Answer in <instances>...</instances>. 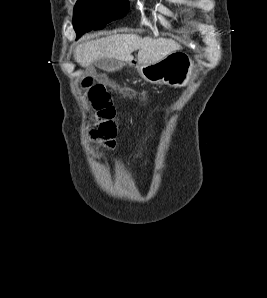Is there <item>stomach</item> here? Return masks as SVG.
I'll return each instance as SVG.
<instances>
[{
  "label": "stomach",
  "mask_w": 267,
  "mask_h": 298,
  "mask_svg": "<svg viewBox=\"0 0 267 298\" xmlns=\"http://www.w3.org/2000/svg\"><path fill=\"white\" fill-rule=\"evenodd\" d=\"M141 77L152 84H166L171 87L186 86L193 73L190 57L182 52H173L153 64L139 62L137 66Z\"/></svg>",
  "instance_id": "obj_1"
}]
</instances>
